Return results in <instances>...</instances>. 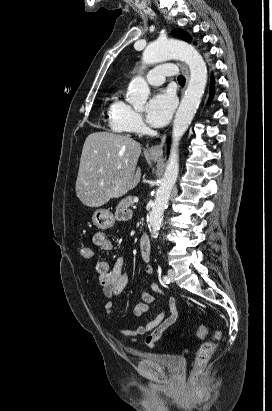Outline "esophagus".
Segmentation results:
<instances>
[{
    "label": "esophagus",
    "mask_w": 272,
    "mask_h": 411,
    "mask_svg": "<svg viewBox=\"0 0 272 411\" xmlns=\"http://www.w3.org/2000/svg\"><path fill=\"white\" fill-rule=\"evenodd\" d=\"M180 68H181L183 74L185 75L186 85H187V83L189 81V70H188L187 66L183 63L180 64ZM165 140H166V134H164L162 136L160 143L149 147L146 150V153L150 156H156V157L162 156V154H163V145L165 143Z\"/></svg>",
    "instance_id": "1"
}]
</instances>
